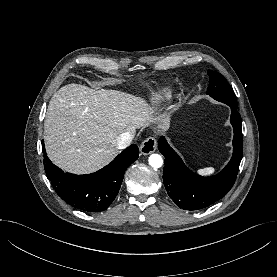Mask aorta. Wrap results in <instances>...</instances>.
Returning a JSON list of instances; mask_svg holds the SVG:
<instances>
[{
  "instance_id": "1",
  "label": "aorta",
  "mask_w": 277,
  "mask_h": 277,
  "mask_svg": "<svg viewBox=\"0 0 277 277\" xmlns=\"http://www.w3.org/2000/svg\"><path fill=\"white\" fill-rule=\"evenodd\" d=\"M149 165L153 168H160L163 164V159L159 154H152L150 155L149 159Z\"/></svg>"
}]
</instances>
